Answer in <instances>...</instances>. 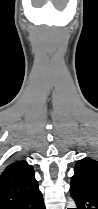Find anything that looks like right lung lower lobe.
<instances>
[{
	"label": "right lung lower lobe",
	"mask_w": 98,
	"mask_h": 209,
	"mask_svg": "<svg viewBox=\"0 0 98 209\" xmlns=\"http://www.w3.org/2000/svg\"><path fill=\"white\" fill-rule=\"evenodd\" d=\"M13 209H46L42 193L38 189L27 199L13 207Z\"/></svg>",
	"instance_id": "right-lung-lower-lobe-1"
}]
</instances>
